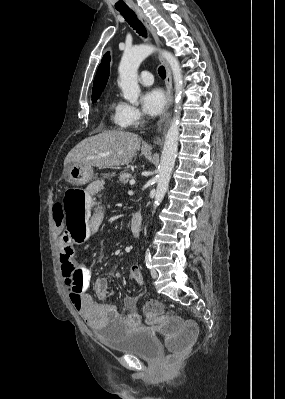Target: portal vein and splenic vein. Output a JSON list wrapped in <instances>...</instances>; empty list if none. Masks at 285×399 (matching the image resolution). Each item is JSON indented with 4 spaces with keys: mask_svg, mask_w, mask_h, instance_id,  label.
Listing matches in <instances>:
<instances>
[{
    "mask_svg": "<svg viewBox=\"0 0 285 399\" xmlns=\"http://www.w3.org/2000/svg\"><path fill=\"white\" fill-rule=\"evenodd\" d=\"M129 183H130V185H134L135 184V180L131 179Z\"/></svg>",
    "mask_w": 285,
    "mask_h": 399,
    "instance_id": "obj_1",
    "label": "portal vein and splenic vein"
}]
</instances>
